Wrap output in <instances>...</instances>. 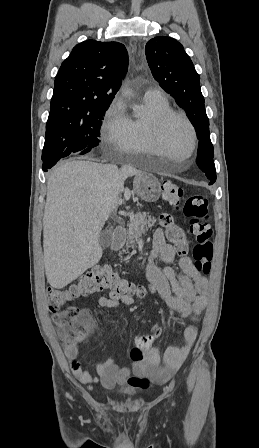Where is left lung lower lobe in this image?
<instances>
[{
    "mask_svg": "<svg viewBox=\"0 0 259 448\" xmlns=\"http://www.w3.org/2000/svg\"><path fill=\"white\" fill-rule=\"evenodd\" d=\"M197 165L210 179V184H213L216 181V170L213 162V156H208L197 160Z\"/></svg>",
    "mask_w": 259,
    "mask_h": 448,
    "instance_id": "1",
    "label": "left lung lower lobe"
}]
</instances>
